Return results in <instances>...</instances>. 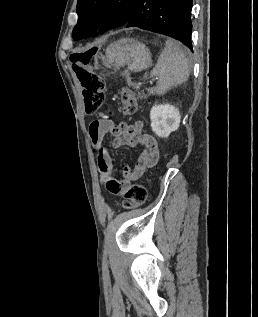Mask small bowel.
<instances>
[{
    "label": "small bowel",
    "instance_id": "small-bowel-1",
    "mask_svg": "<svg viewBox=\"0 0 258 317\" xmlns=\"http://www.w3.org/2000/svg\"><path fill=\"white\" fill-rule=\"evenodd\" d=\"M143 124L137 121L134 124L121 122L115 124L108 119L93 121L89 127L92 146L97 152L96 166L99 179L105 189L115 195L124 193L131 181L141 178L159 159L158 143L155 137L142 132ZM113 136L112 146L115 149L123 147L142 148L139 159L134 167H125L123 178L118 179L114 174L111 155L105 146V138Z\"/></svg>",
    "mask_w": 258,
    "mask_h": 317
}]
</instances>
